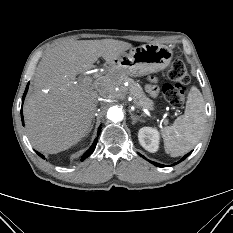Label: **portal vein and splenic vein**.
Here are the masks:
<instances>
[{
	"label": "portal vein and splenic vein",
	"instance_id": "portal-vein-and-splenic-vein-1",
	"mask_svg": "<svg viewBox=\"0 0 233 233\" xmlns=\"http://www.w3.org/2000/svg\"><path fill=\"white\" fill-rule=\"evenodd\" d=\"M91 82H92L91 77H84V78L81 80V85H82V86H85V87H89V86L91 85Z\"/></svg>",
	"mask_w": 233,
	"mask_h": 233
}]
</instances>
